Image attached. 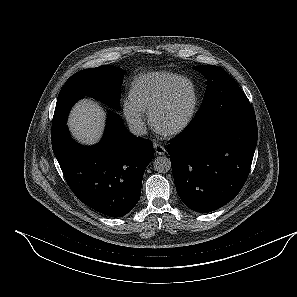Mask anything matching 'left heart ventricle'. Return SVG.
I'll return each mask as SVG.
<instances>
[{
	"label": "left heart ventricle",
	"instance_id": "obj_1",
	"mask_svg": "<svg viewBox=\"0 0 297 297\" xmlns=\"http://www.w3.org/2000/svg\"><path fill=\"white\" fill-rule=\"evenodd\" d=\"M190 102V86L186 82H182L175 89L168 105L158 115L159 127L167 129L179 123L186 115Z\"/></svg>",
	"mask_w": 297,
	"mask_h": 297
}]
</instances>
